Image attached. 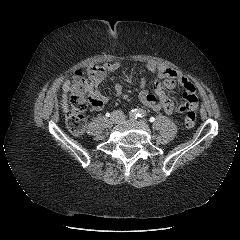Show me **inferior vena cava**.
Listing matches in <instances>:
<instances>
[{"mask_svg":"<svg viewBox=\"0 0 240 240\" xmlns=\"http://www.w3.org/2000/svg\"><path fill=\"white\" fill-rule=\"evenodd\" d=\"M112 119L116 123H121L125 120V115L122 111H114L112 114Z\"/></svg>","mask_w":240,"mask_h":240,"instance_id":"1","label":"inferior vena cava"}]
</instances>
